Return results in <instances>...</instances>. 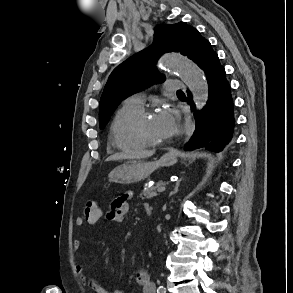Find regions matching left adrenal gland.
<instances>
[{
  "mask_svg": "<svg viewBox=\"0 0 293 293\" xmlns=\"http://www.w3.org/2000/svg\"><path fill=\"white\" fill-rule=\"evenodd\" d=\"M180 181H181V179L176 182V185L174 187V190L171 192V195L172 194H176L178 192V188H179V185H180Z\"/></svg>",
  "mask_w": 293,
  "mask_h": 293,
  "instance_id": "1",
  "label": "left adrenal gland"
}]
</instances>
